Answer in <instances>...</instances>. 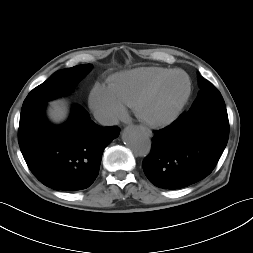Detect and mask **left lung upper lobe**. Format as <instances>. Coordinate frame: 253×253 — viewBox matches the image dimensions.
I'll return each mask as SVG.
<instances>
[{"label": "left lung upper lobe", "mask_w": 253, "mask_h": 253, "mask_svg": "<svg viewBox=\"0 0 253 253\" xmlns=\"http://www.w3.org/2000/svg\"><path fill=\"white\" fill-rule=\"evenodd\" d=\"M200 91L187 115H201L208 111L225 108L220 92L208 81L198 78Z\"/></svg>", "instance_id": "obj_1"}]
</instances>
